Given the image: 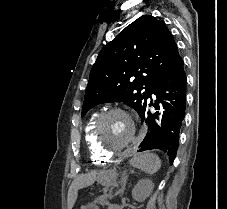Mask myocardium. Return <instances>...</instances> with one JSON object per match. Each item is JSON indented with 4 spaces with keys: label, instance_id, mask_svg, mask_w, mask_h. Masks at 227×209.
<instances>
[{
    "label": "myocardium",
    "instance_id": "obj_1",
    "mask_svg": "<svg viewBox=\"0 0 227 209\" xmlns=\"http://www.w3.org/2000/svg\"><path fill=\"white\" fill-rule=\"evenodd\" d=\"M114 114H120L128 120L130 127H131V134H130L128 140L126 142H124L122 145L115 147L113 149H108L107 147L104 146V144L102 143V141L100 139V131H101L104 121L109 116L114 115ZM92 135H93V142H94L96 148L98 149V151L105 156L113 157V156L119 154L121 151H123L125 148H127L130 145V143L136 136V126H135L131 116L126 111H124L120 108H111V109L105 110L104 112H102L98 115V117L96 118L94 127H93Z\"/></svg>",
    "mask_w": 227,
    "mask_h": 209
}]
</instances>
